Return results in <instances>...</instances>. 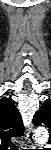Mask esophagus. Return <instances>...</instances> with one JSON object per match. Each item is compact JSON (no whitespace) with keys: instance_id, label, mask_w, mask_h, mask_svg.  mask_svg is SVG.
<instances>
[{"instance_id":"1","label":"esophagus","mask_w":51,"mask_h":150,"mask_svg":"<svg viewBox=\"0 0 51 150\" xmlns=\"http://www.w3.org/2000/svg\"><path fill=\"white\" fill-rule=\"evenodd\" d=\"M27 143L31 146H34V134L32 126H29L27 129Z\"/></svg>"}]
</instances>
